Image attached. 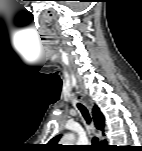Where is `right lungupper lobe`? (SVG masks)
<instances>
[{
  "instance_id": "1",
  "label": "right lung upper lobe",
  "mask_w": 142,
  "mask_h": 151,
  "mask_svg": "<svg viewBox=\"0 0 142 151\" xmlns=\"http://www.w3.org/2000/svg\"><path fill=\"white\" fill-rule=\"evenodd\" d=\"M93 119H94L95 127L98 130L103 131L104 130V116L102 115V113L100 112V110L97 106H94V108H93ZM59 139H60V135L51 139L50 142L48 143L49 147L52 149H57L59 147L57 144ZM104 143H105V141H104Z\"/></svg>"
}]
</instances>
